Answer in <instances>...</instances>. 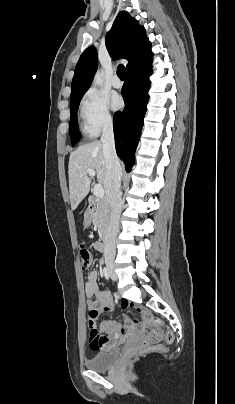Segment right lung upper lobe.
<instances>
[{"label":"right lung upper lobe","instance_id":"obj_1","mask_svg":"<svg viewBox=\"0 0 235 404\" xmlns=\"http://www.w3.org/2000/svg\"><path fill=\"white\" fill-rule=\"evenodd\" d=\"M106 47L113 59L128 60L127 72L152 60L151 43L145 30L126 11L117 15L106 36ZM98 65L97 51L88 47L80 56L72 80L70 102L80 100L88 90Z\"/></svg>","mask_w":235,"mask_h":404}]
</instances>
